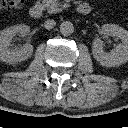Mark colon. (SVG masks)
I'll return each instance as SVG.
<instances>
[{"mask_svg":"<svg viewBox=\"0 0 128 128\" xmlns=\"http://www.w3.org/2000/svg\"><path fill=\"white\" fill-rule=\"evenodd\" d=\"M24 0H3V6L7 10H14L23 4Z\"/></svg>","mask_w":128,"mask_h":128,"instance_id":"obj_1","label":"colon"}]
</instances>
